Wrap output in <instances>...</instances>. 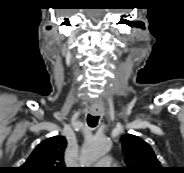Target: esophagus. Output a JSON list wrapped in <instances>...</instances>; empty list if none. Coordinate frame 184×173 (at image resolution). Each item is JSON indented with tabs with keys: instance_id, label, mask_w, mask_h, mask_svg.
<instances>
[{
	"instance_id": "1",
	"label": "esophagus",
	"mask_w": 184,
	"mask_h": 173,
	"mask_svg": "<svg viewBox=\"0 0 184 173\" xmlns=\"http://www.w3.org/2000/svg\"><path fill=\"white\" fill-rule=\"evenodd\" d=\"M90 113L93 115H98V114H100V109L97 107L91 108Z\"/></svg>"
}]
</instances>
